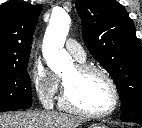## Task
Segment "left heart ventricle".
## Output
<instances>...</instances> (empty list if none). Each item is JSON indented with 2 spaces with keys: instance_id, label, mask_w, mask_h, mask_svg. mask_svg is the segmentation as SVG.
<instances>
[{
  "instance_id": "left-heart-ventricle-1",
  "label": "left heart ventricle",
  "mask_w": 142,
  "mask_h": 128,
  "mask_svg": "<svg viewBox=\"0 0 142 128\" xmlns=\"http://www.w3.org/2000/svg\"><path fill=\"white\" fill-rule=\"evenodd\" d=\"M63 81L71 101L81 109L101 113L112 106L111 87L101 74H82L76 67H73L65 72Z\"/></svg>"
}]
</instances>
